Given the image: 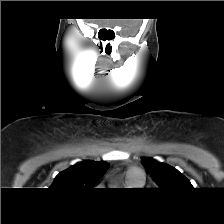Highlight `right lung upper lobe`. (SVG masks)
<instances>
[{
  "instance_id": "obj_1",
  "label": "right lung upper lobe",
  "mask_w": 224,
  "mask_h": 224,
  "mask_svg": "<svg viewBox=\"0 0 224 224\" xmlns=\"http://www.w3.org/2000/svg\"><path fill=\"white\" fill-rule=\"evenodd\" d=\"M105 161H83L60 172L54 179L51 188L63 191L93 189L106 172Z\"/></svg>"
}]
</instances>
